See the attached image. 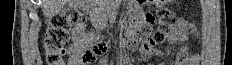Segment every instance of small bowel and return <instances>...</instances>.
Instances as JSON below:
<instances>
[{"label": "small bowel", "mask_w": 232, "mask_h": 65, "mask_svg": "<svg viewBox=\"0 0 232 65\" xmlns=\"http://www.w3.org/2000/svg\"><path fill=\"white\" fill-rule=\"evenodd\" d=\"M129 17H142L143 23L141 26H135V33L126 32L125 35H116V40H125L126 37L129 38V42H125V47H137L139 38H146L147 34L150 33L152 24V15L150 12H129ZM198 33L195 27L186 22L185 20H180L177 24L175 32L169 37V47L166 50V54L170 55L173 46L183 45L189 38H197ZM73 44L67 49V54L69 57L68 65H82L80 58V52L89 47L95 40L92 34H88L85 30L83 24L76 25L72 30ZM162 53L160 51L145 52L141 56V59H145L151 56H160ZM200 58L196 54H190L186 48H182L176 57L174 65H198ZM106 58L102 57L100 65H107Z\"/></svg>", "instance_id": "1"}]
</instances>
